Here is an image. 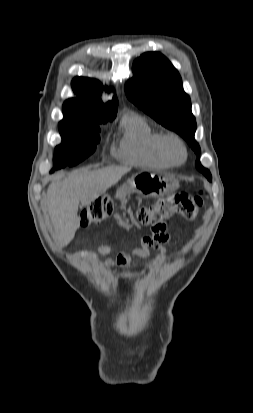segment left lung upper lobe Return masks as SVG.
<instances>
[{"mask_svg": "<svg viewBox=\"0 0 253 413\" xmlns=\"http://www.w3.org/2000/svg\"><path fill=\"white\" fill-rule=\"evenodd\" d=\"M133 70L135 75L128 82L127 97L157 122L182 136L199 156L200 147L194 139L196 120L178 71L157 52L141 55L135 60ZM195 166L212 180L210 171L198 159Z\"/></svg>", "mask_w": 253, "mask_h": 413, "instance_id": "1", "label": "left lung upper lobe"}]
</instances>
